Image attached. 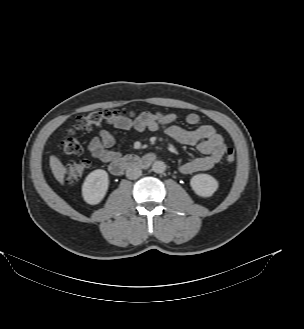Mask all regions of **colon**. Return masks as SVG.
I'll list each match as a JSON object with an SVG mask.
<instances>
[{
    "instance_id": "obj_1",
    "label": "colon",
    "mask_w": 304,
    "mask_h": 329,
    "mask_svg": "<svg viewBox=\"0 0 304 329\" xmlns=\"http://www.w3.org/2000/svg\"><path fill=\"white\" fill-rule=\"evenodd\" d=\"M120 117L141 119L144 122H149L152 119V116L147 112L136 114L133 112L126 113L111 110H100L82 115L77 118L73 129H71L63 137L61 142L63 152L66 154H78L81 152L82 148L78 140L74 137L75 133L89 131L93 127L102 126L109 123L113 119ZM235 158V151L232 148H228L225 155L226 162L228 164H233L235 162ZM88 165L87 160H79L77 162L69 163L65 167L66 181L71 183L82 178L88 168Z\"/></svg>"
}]
</instances>
